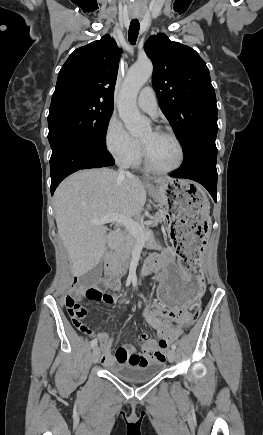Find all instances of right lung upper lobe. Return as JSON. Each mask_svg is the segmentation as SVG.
I'll return each instance as SVG.
<instances>
[{"mask_svg":"<svg viewBox=\"0 0 263 435\" xmlns=\"http://www.w3.org/2000/svg\"><path fill=\"white\" fill-rule=\"evenodd\" d=\"M120 51L109 35L72 52L62 66L50 106L72 101L114 104Z\"/></svg>","mask_w":263,"mask_h":435,"instance_id":"cb5924a9","label":"right lung upper lobe"}]
</instances>
